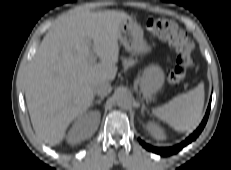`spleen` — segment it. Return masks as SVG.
Instances as JSON below:
<instances>
[{
	"instance_id": "3e777b00",
	"label": "spleen",
	"mask_w": 231,
	"mask_h": 170,
	"mask_svg": "<svg viewBox=\"0 0 231 170\" xmlns=\"http://www.w3.org/2000/svg\"><path fill=\"white\" fill-rule=\"evenodd\" d=\"M203 106L204 86L199 84L195 89L154 108L153 113L177 131H190L199 125Z\"/></svg>"
}]
</instances>
